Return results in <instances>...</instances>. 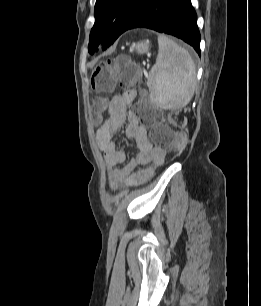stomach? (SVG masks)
Returning <instances> with one entry per match:
<instances>
[{"label":"stomach","instance_id":"stomach-1","mask_svg":"<svg viewBox=\"0 0 261 306\" xmlns=\"http://www.w3.org/2000/svg\"><path fill=\"white\" fill-rule=\"evenodd\" d=\"M150 43L148 41H140L134 43L131 47V51H134L138 54H146L149 52Z\"/></svg>","mask_w":261,"mask_h":306}]
</instances>
